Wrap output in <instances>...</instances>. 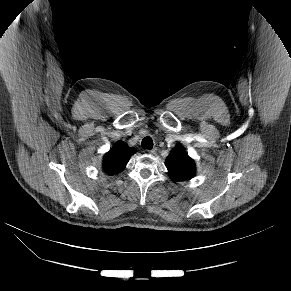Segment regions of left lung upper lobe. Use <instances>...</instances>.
<instances>
[{
  "instance_id": "left-lung-upper-lobe-1",
  "label": "left lung upper lobe",
  "mask_w": 291,
  "mask_h": 291,
  "mask_svg": "<svg viewBox=\"0 0 291 291\" xmlns=\"http://www.w3.org/2000/svg\"><path fill=\"white\" fill-rule=\"evenodd\" d=\"M168 174L173 181H185L195 175V162L188 156L182 145H176L165 161Z\"/></svg>"
}]
</instances>
